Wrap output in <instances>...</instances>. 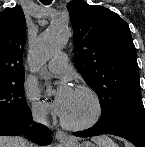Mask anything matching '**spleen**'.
Segmentation results:
<instances>
[{"label":"spleen","mask_w":145,"mask_h":147,"mask_svg":"<svg viewBox=\"0 0 145 147\" xmlns=\"http://www.w3.org/2000/svg\"><path fill=\"white\" fill-rule=\"evenodd\" d=\"M98 145L99 147H118L109 137H101Z\"/></svg>","instance_id":"obj_1"}]
</instances>
